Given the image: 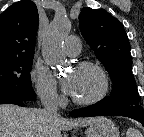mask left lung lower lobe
Listing matches in <instances>:
<instances>
[{
  "mask_svg": "<svg viewBox=\"0 0 144 137\" xmlns=\"http://www.w3.org/2000/svg\"><path fill=\"white\" fill-rule=\"evenodd\" d=\"M73 117H90V116H126L133 118L142 123L144 126V110L141 106L114 105L107 106L102 101L82 108L73 110L70 113Z\"/></svg>",
  "mask_w": 144,
  "mask_h": 137,
  "instance_id": "obj_1",
  "label": "left lung lower lobe"
}]
</instances>
